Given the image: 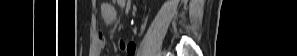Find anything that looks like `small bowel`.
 I'll list each match as a JSON object with an SVG mask.
<instances>
[{"label":"small bowel","instance_id":"1","mask_svg":"<svg viewBox=\"0 0 297 56\" xmlns=\"http://www.w3.org/2000/svg\"><path fill=\"white\" fill-rule=\"evenodd\" d=\"M117 4L120 7H124L127 4L126 0H117ZM101 17L107 23H112L117 17V9L111 3H104L101 6ZM106 37L103 34H99L98 36V43H97V50L100 53L106 47ZM119 47L121 50H125L129 53L134 51L133 44H127L125 41L119 42Z\"/></svg>","mask_w":297,"mask_h":56}]
</instances>
